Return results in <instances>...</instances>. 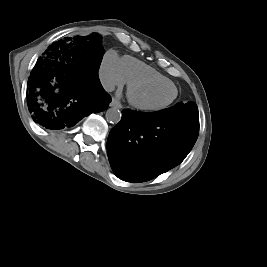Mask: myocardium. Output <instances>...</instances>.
Returning <instances> with one entry per match:
<instances>
[{
  "mask_svg": "<svg viewBox=\"0 0 267 267\" xmlns=\"http://www.w3.org/2000/svg\"><path fill=\"white\" fill-rule=\"evenodd\" d=\"M157 84H168L174 88L175 94H174L173 98L170 101H168L167 103L162 104V105H157V106L146 105V104L139 102L134 97V90L135 89H137L139 87L147 86V85H157ZM127 97H128V101L130 102V104L139 110L160 111V110L168 108L171 104H173L175 102V100L178 97V88L171 81H161V80H157V79H138V80H134V81L129 82L128 87H127Z\"/></svg>",
  "mask_w": 267,
  "mask_h": 267,
  "instance_id": "obj_1",
  "label": "myocardium"
}]
</instances>
